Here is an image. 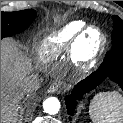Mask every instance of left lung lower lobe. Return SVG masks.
<instances>
[{"label": "left lung lower lobe", "instance_id": "obj_1", "mask_svg": "<svg viewBox=\"0 0 123 123\" xmlns=\"http://www.w3.org/2000/svg\"><path fill=\"white\" fill-rule=\"evenodd\" d=\"M107 77H110L111 80L117 82L123 89V65L108 66L105 63H102L95 72L78 83L73 88L70 95L66 96L65 103L68 109V113L70 115H73L77 105V100L82 99L85 93H88L91 90L95 89Z\"/></svg>", "mask_w": 123, "mask_h": 123}]
</instances>
